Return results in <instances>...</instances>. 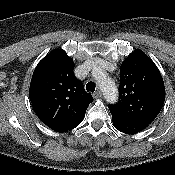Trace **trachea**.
I'll return each instance as SVG.
<instances>
[{
	"label": "trachea",
	"instance_id": "3493384b",
	"mask_svg": "<svg viewBox=\"0 0 175 175\" xmlns=\"http://www.w3.org/2000/svg\"><path fill=\"white\" fill-rule=\"evenodd\" d=\"M95 88H96V84L94 82H92V81H90V82H88L86 84V90L88 92H92L93 93L95 91Z\"/></svg>",
	"mask_w": 175,
	"mask_h": 175
}]
</instances>
